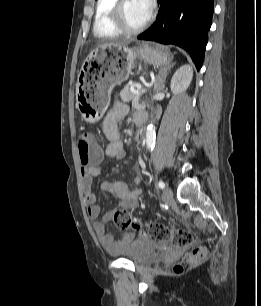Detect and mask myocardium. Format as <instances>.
<instances>
[{"mask_svg": "<svg viewBox=\"0 0 261 306\" xmlns=\"http://www.w3.org/2000/svg\"><path fill=\"white\" fill-rule=\"evenodd\" d=\"M127 0H117L112 9V17L115 26L123 33L127 35H134L144 31L149 23L150 16L146 18V20L137 27H132L128 24L124 14V4Z\"/></svg>", "mask_w": 261, "mask_h": 306, "instance_id": "obj_1", "label": "myocardium"}]
</instances>
